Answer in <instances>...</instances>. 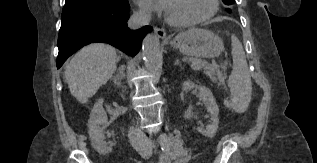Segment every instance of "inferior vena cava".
<instances>
[{"label":"inferior vena cava","mask_w":317,"mask_h":163,"mask_svg":"<svg viewBox=\"0 0 317 163\" xmlns=\"http://www.w3.org/2000/svg\"><path fill=\"white\" fill-rule=\"evenodd\" d=\"M151 15L148 12H136L130 17L128 26L131 29H139L150 22ZM123 70V68L121 69ZM129 141L134 149L144 158H148L152 154V143L139 129L131 128L129 130Z\"/></svg>","instance_id":"inferior-vena-cava-1"}]
</instances>
